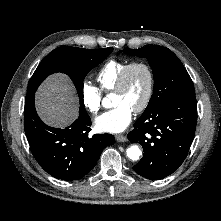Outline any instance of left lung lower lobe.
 Listing matches in <instances>:
<instances>
[{"mask_svg": "<svg viewBox=\"0 0 221 221\" xmlns=\"http://www.w3.org/2000/svg\"><path fill=\"white\" fill-rule=\"evenodd\" d=\"M196 121L195 95L175 98L141 115L127 135L129 141L139 142L144 150L134 171L150 180L163 179L176 171L188 154Z\"/></svg>", "mask_w": 221, "mask_h": 221, "instance_id": "0a47b994", "label": "left lung lower lobe"}]
</instances>
